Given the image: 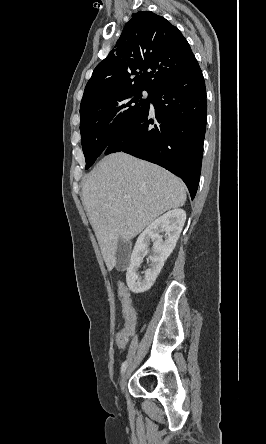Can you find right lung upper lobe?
<instances>
[{"label": "right lung upper lobe", "instance_id": "1", "mask_svg": "<svg viewBox=\"0 0 266 444\" xmlns=\"http://www.w3.org/2000/svg\"><path fill=\"white\" fill-rule=\"evenodd\" d=\"M197 66L187 40L177 27L151 11L137 12L125 25L114 49L94 69L80 108L120 90L151 92L188 75Z\"/></svg>", "mask_w": 266, "mask_h": 444}]
</instances>
